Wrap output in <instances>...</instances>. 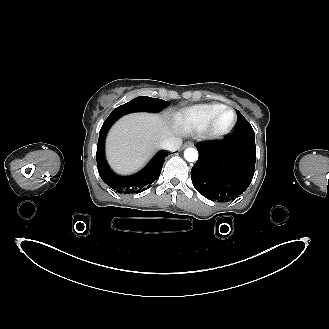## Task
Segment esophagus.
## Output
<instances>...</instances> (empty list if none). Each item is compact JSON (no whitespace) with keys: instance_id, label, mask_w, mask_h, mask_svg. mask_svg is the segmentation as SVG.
Masks as SVG:
<instances>
[{"instance_id":"esophagus-1","label":"esophagus","mask_w":329,"mask_h":329,"mask_svg":"<svg viewBox=\"0 0 329 329\" xmlns=\"http://www.w3.org/2000/svg\"><path fill=\"white\" fill-rule=\"evenodd\" d=\"M190 146H193V143L187 142L182 146V148L184 149V148H187V147H190Z\"/></svg>"}]
</instances>
